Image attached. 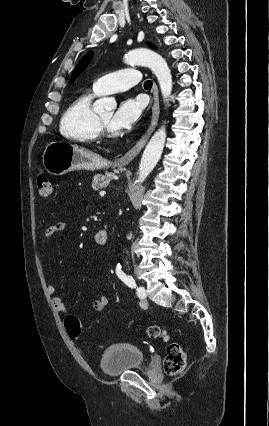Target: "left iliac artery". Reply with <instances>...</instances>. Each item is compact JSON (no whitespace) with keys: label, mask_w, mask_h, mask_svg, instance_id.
Here are the masks:
<instances>
[{"label":"left iliac artery","mask_w":269,"mask_h":426,"mask_svg":"<svg viewBox=\"0 0 269 426\" xmlns=\"http://www.w3.org/2000/svg\"><path fill=\"white\" fill-rule=\"evenodd\" d=\"M116 273L118 275V277L129 287L131 288H136V283L134 281V279L130 276H127L124 272H122L121 267H118L116 269ZM136 293L138 295V297L140 299H144L146 297V292L145 289L143 287H137L136 288Z\"/></svg>","instance_id":"obj_1"}]
</instances>
